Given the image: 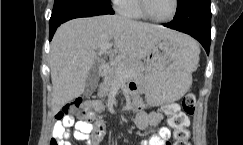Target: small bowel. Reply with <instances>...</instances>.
I'll return each instance as SVG.
<instances>
[{
    "instance_id": "small-bowel-1",
    "label": "small bowel",
    "mask_w": 243,
    "mask_h": 145,
    "mask_svg": "<svg viewBox=\"0 0 243 145\" xmlns=\"http://www.w3.org/2000/svg\"><path fill=\"white\" fill-rule=\"evenodd\" d=\"M135 91V88H131ZM86 107L94 111H102L103 105L99 101H88ZM139 113L135 118V124L140 130H146L157 126L163 120L161 113L146 112L143 106L138 103ZM95 119L94 113L90 112L86 121L75 122L72 117H66L55 123L53 128V137L60 140V145H72L70 140L74 137L76 140L86 141L88 145H99L105 136V125L101 121H91ZM75 131L71 133L70 129ZM170 130L162 127L157 133H152L147 140H142L138 145H168Z\"/></svg>"
}]
</instances>
